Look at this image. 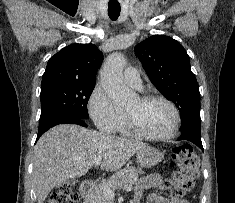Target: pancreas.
<instances>
[{"label":"pancreas","instance_id":"pancreas-1","mask_svg":"<svg viewBox=\"0 0 235 203\" xmlns=\"http://www.w3.org/2000/svg\"><path fill=\"white\" fill-rule=\"evenodd\" d=\"M139 174H143V171L135 167H126L116 172L107 181L95 187L89 198V203H113V200L104 194L103 186L107 185L114 190L133 185L137 182Z\"/></svg>","mask_w":235,"mask_h":203}]
</instances>
